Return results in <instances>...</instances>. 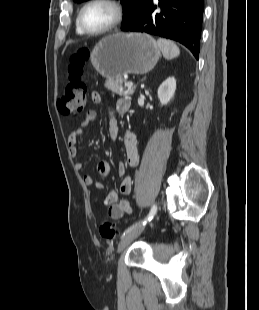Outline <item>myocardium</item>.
<instances>
[{"mask_svg":"<svg viewBox=\"0 0 259 310\" xmlns=\"http://www.w3.org/2000/svg\"><path fill=\"white\" fill-rule=\"evenodd\" d=\"M97 3L106 4L110 6L114 11V18L106 27L100 30H90L86 28V26L83 23L82 19L83 12L89 6ZM124 16H125V10L122 3L119 0H89L80 8L77 16V24L84 34L89 36H101L113 31L119 25H121V23L124 20Z\"/></svg>","mask_w":259,"mask_h":310,"instance_id":"1","label":"myocardium"}]
</instances>
